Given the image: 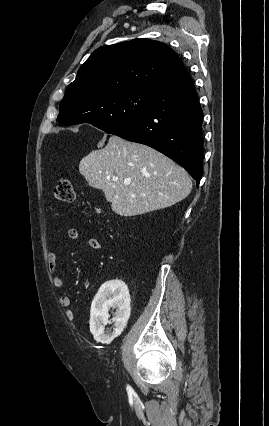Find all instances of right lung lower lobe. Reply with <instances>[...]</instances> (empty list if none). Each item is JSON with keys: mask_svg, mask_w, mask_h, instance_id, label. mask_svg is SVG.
<instances>
[{"mask_svg": "<svg viewBox=\"0 0 269 426\" xmlns=\"http://www.w3.org/2000/svg\"><path fill=\"white\" fill-rule=\"evenodd\" d=\"M203 112L191 77L159 88L145 112L107 133L148 145L181 165L197 187L203 173Z\"/></svg>", "mask_w": 269, "mask_h": 426, "instance_id": "right-lung-lower-lobe-1", "label": "right lung lower lobe"}]
</instances>
